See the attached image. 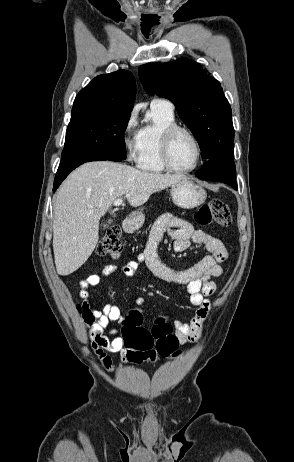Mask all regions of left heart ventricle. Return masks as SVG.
I'll return each mask as SVG.
<instances>
[{
  "mask_svg": "<svg viewBox=\"0 0 294 462\" xmlns=\"http://www.w3.org/2000/svg\"><path fill=\"white\" fill-rule=\"evenodd\" d=\"M170 157L173 165L180 169L189 168L196 158V147L185 133H178L171 144Z\"/></svg>",
  "mask_w": 294,
  "mask_h": 462,
  "instance_id": "1",
  "label": "left heart ventricle"
}]
</instances>
